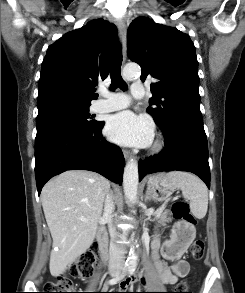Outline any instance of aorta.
<instances>
[{
	"label": "aorta",
	"instance_id": "obj_1",
	"mask_svg": "<svg viewBox=\"0 0 245 293\" xmlns=\"http://www.w3.org/2000/svg\"><path fill=\"white\" fill-rule=\"evenodd\" d=\"M140 73V67L137 64H128L122 71V76L126 80H132ZM138 164L135 160L131 159L127 162L123 174V188L126 198L130 203H134L137 199L138 189ZM138 256L136 253L131 252L126 261V266L135 268L137 266Z\"/></svg>",
	"mask_w": 245,
	"mask_h": 293
}]
</instances>
